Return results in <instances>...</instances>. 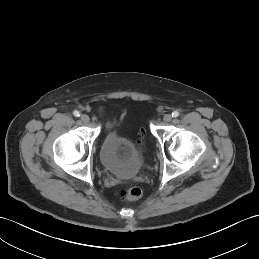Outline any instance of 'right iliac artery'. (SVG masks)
Masks as SVG:
<instances>
[{"label":"right iliac artery","mask_w":259,"mask_h":259,"mask_svg":"<svg viewBox=\"0 0 259 259\" xmlns=\"http://www.w3.org/2000/svg\"><path fill=\"white\" fill-rule=\"evenodd\" d=\"M73 115H74L75 117H79V116H80V113H79L77 110H75V111L73 112Z\"/></svg>","instance_id":"obj_1"}]
</instances>
